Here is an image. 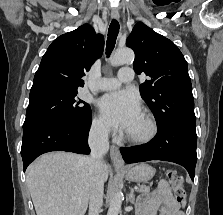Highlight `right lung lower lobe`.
<instances>
[{"instance_id":"right-lung-lower-lobe-1","label":"right lung lower lobe","mask_w":223,"mask_h":215,"mask_svg":"<svg viewBox=\"0 0 223 215\" xmlns=\"http://www.w3.org/2000/svg\"><path fill=\"white\" fill-rule=\"evenodd\" d=\"M89 125L67 122H45L23 128L21 156L23 169L39 155L50 151L89 154Z\"/></svg>"}]
</instances>
